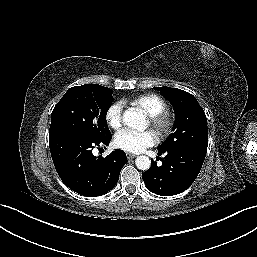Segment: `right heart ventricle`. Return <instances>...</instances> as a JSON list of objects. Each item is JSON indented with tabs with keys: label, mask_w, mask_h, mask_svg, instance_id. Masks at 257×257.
Returning <instances> with one entry per match:
<instances>
[{
	"label": "right heart ventricle",
	"mask_w": 257,
	"mask_h": 257,
	"mask_svg": "<svg viewBox=\"0 0 257 257\" xmlns=\"http://www.w3.org/2000/svg\"><path fill=\"white\" fill-rule=\"evenodd\" d=\"M130 103L140 108L146 115L153 116L166 108V102L156 93H145L130 100Z\"/></svg>",
	"instance_id": "right-heart-ventricle-1"
}]
</instances>
